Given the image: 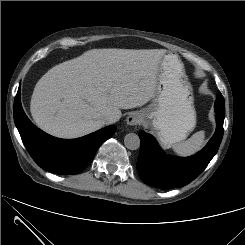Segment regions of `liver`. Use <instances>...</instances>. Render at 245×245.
Listing matches in <instances>:
<instances>
[{
  "label": "liver",
  "mask_w": 245,
  "mask_h": 245,
  "mask_svg": "<svg viewBox=\"0 0 245 245\" xmlns=\"http://www.w3.org/2000/svg\"><path fill=\"white\" fill-rule=\"evenodd\" d=\"M165 49H92L60 63L36 83L33 120L45 132L77 138L101 129L108 113L141 107L156 90Z\"/></svg>",
  "instance_id": "liver-1"
}]
</instances>
